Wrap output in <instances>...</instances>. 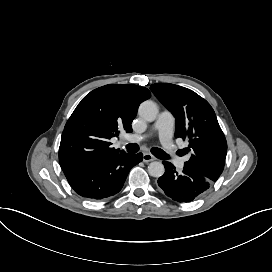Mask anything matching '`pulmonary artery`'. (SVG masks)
<instances>
[{
    "mask_svg": "<svg viewBox=\"0 0 272 272\" xmlns=\"http://www.w3.org/2000/svg\"><path fill=\"white\" fill-rule=\"evenodd\" d=\"M174 123L175 119L171 114L161 113L154 124V128L158 131L161 142L166 145L165 148L170 151V155L176 161V166L182 170L186 165L182 160L178 159L176 154H178L179 149L175 146L174 142L171 141ZM147 138V135L143 133L134 136L132 140L137 144L146 141Z\"/></svg>",
    "mask_w": 272,
    "mask_h": 272,
    "instance_id": "e3ab8cb5",
    "label": "pulmonary artery"
}]
</instances>
